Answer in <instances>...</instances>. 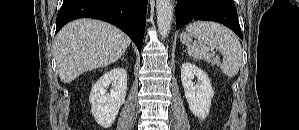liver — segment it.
<instances>
[{
    "label": "liver",
    "mask_w": 299,
    "mask_h": 130,
    "mask_svg": "<svg viewBox=\"0 0 299 130\" xmlns=\"http://www.w3.org/2000/svg\"><path fill=\"white\" fill-rule=\"evenodd\" d=\"M130 43L124 32L107 22L79 19L68 23L54 40L61 81L70 83L86 71L116 62Z\"/></svg>",
    "instance_id": "obj_1"
}]
</instances>
